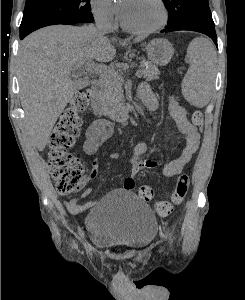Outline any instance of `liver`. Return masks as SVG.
Listing matches in <instances>:
<instances>
[{
  "instance_id": "liver-1",
  "label": "liver",
  "mask_w": 245,
  "mask_h": 300,
  "mask_svg": "<svg viewBox=\"0 0 245 300\" xmlns=\"http://www.w3.org/2000/svg\"><path fill=\"white\" fill-rule=\"evenodd\" d=\"M115 41L91 25H53L21 42L17 68L24 124L39 151L44 150L54 124L75 92L70 71L94 59L111 61L116 55Z\"/></svg>"
}]
</instances>
